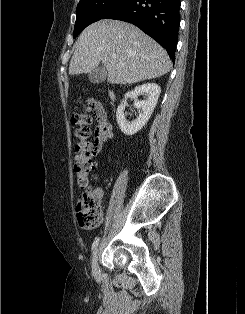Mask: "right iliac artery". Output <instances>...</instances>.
<instances>
[{"label": "right iliac artery", "instance_id": "1", "mask_svg": "<svg viewBox=\"0 0 245 314\" xmlns=\"http://www.w3.org/2000/svg\"><path fill=\"white\" fill-rule=\"evenodd\" d=\"M99 237H96L93 244H92V251L97 247L98 243H99Z\"/></svg>", "mask_w": 245, "mask_h": 314}]
</instances>
